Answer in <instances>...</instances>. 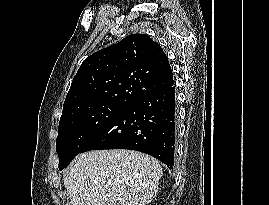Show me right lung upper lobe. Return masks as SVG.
I'll list each match as a JSON object with an SVG mask.
<instances>
[{
    "mask_svg": "<svg viewBox=\"0 0 269 205\" xmlns=\"http://www.w3.org/2000/svg\"><path fill=\"white\" fill-rule=\"evenodd\" d=\"M174 84L167 56L145 34H133L87 57L66 96L62 117L104 102L131 105Z\"/></svg>",
    "mask_w": 269,
    "mask_h": 205,
    "instance_id": "1",
    "label": "right lung upper lobe"
}]
</instances>
